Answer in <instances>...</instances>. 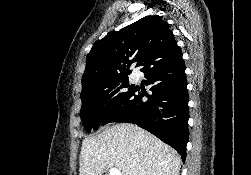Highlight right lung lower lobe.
<instances>
[{
	"label": "right lung lower lobe",
	"instance_id": "right-lung-lower-lobe-1",
	"mask_svg": "<svg viewBox=\"0 0 251 175\" xmlns=\"http://www.w3.org/2000/svg\"><path fill=\"white\" fill-rule=\"evenodd\" d=\"M151 96L134 88L104 118L110 122L134 123L172 146L186 158L188 130V94L183 59L145 73ZM146 95L147 101L142 98Z\"/></svg>",
	"mask_w": 251,
	"mask_h": 175
}]
</instances>
